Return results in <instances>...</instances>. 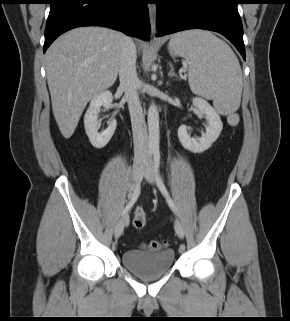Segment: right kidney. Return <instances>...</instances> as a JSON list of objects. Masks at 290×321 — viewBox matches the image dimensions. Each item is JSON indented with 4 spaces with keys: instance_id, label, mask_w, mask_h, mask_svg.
I'll list each match as a JSON object with an SVG mask.
<instances>
[{
    "instance_id": "right-kidney-1",
    "label": "right kidney",
    "mask_w": 290,
    "mask_h": 321,
    "mask_svg": "<svg viewBox=\"0 0 290 321\" xmlns=\"http://www.w3.org/2000/svg\"><path fill=\"white\" fill-rule=\"evenodd\" d=\"M112 103V93L110 91H103L91 99L90 105L84 116L85 132L90 140V143L95 148H103L110 141L113 136L117 122L112 120L107 129L99 133L98 113L101 106L109 108Z\"/></svg>"
}]
</instances>
